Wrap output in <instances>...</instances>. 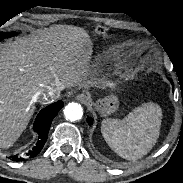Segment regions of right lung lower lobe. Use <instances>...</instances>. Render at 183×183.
Segmentation results:
<instances>
[{
  "label": "right lung lower lobe",
  "instance_id": "obj_1",
  "mask_svg": "<svg viewBox=\"0 0 183 183\" xmlns=\"http://www.w3.org/2000/svg\"><path fill=\"white\" fill-rule=\"evenodd\" d=\"M62 107H63V102L58 101L43 108L37 115L35 122L33 124V130L39 135L40 141H38L37 145L33 148V151L30 157L36 156L43 148L47 140L51 122ZM16 159H17V156H14L13 160H16Z\"/></svg>",
  "mask_w": 183,
  "mask_h": 183
}]
</instances>
